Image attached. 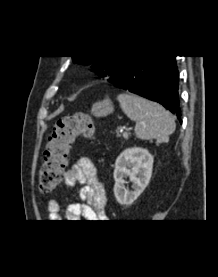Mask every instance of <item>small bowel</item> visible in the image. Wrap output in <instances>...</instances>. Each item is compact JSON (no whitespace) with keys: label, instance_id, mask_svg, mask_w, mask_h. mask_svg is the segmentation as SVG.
<instances>
[{"label":"small bowel","instance_id":"small-bowel-1","mask_svg":"<svg viewBox=\"0 0 218 277\" xmlns=\"http://www.w3.org/2000/svg\"><path fill=\"white\" fill-rule=\"evenodd\" d=\"M64 182L67 186L80 184L79 196L81 203H72L67 207L65 218L76 220H102L105 218L106 192L97 177L92 160L81 156L66 172ZM48 218L53 222L62 219L60 203L50 199L47 204Z\"/></svg>","mask_w":218,"mask_h":277}]
</instances>
